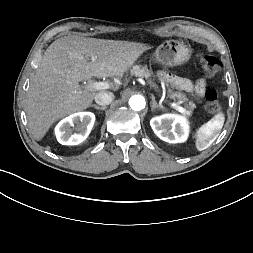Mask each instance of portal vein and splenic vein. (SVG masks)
Masks as SVG:
<instances>
[{
  "instance_id": "obj_1",
  "label": "portal vein and splenic vein",
  "mask_w": 253,
  "mask_h": 253,
  "mask_svg": "<svg viewBox=\"0 0 253 253\" xmlns=\"http://www.w3.org/2000/svg\"><path fill=\"white\" fill-rule=\"evenodd\" d=\"M111 87L109 82H91L85 86V90L89 91H98V90H105ZM173 106L182 114H186V110L178 104H173Z\"/></svg>"
}]
</instances>
